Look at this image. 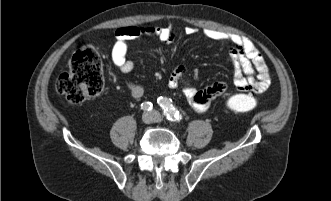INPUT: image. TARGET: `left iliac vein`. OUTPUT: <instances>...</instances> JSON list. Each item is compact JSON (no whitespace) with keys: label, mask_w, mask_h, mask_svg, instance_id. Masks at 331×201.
Segmentation results:
<instances>
[{"label":"left iliac vein","mask_w":331,"mask_h":201,"mask_svg":"<svg viewBox=\"0 0 331 201\" xmlns=\"http://www.w3.org/2000/svg\"><path fill=\"white\" fill-rule=\"evenodd\" d=\"M151 114H152V117H153V121L154 122H160L161 121V115H160L159 112L152 111Z\"/></svg>","instance_id":"obj_1"}]
</instances>
